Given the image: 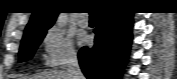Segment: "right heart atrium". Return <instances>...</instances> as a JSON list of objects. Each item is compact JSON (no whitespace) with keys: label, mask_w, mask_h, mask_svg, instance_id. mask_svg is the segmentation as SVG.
<instances>
[{"label":"right heart atrium","mask_w":177,"mask_h":79,"mask_svg":"<svg viewBox=\"0 0 177 79\" xmlns=\"http://www.w3.org/2000/svg\"><path fill=\"white\" fill-rule=\"evenodd\" d=\"M43 60L47 67H61L77 59V52L72 39L61 30L50 27L42 39Z\"/></svg>","instance_id":"obj_1"}]
</instances>
